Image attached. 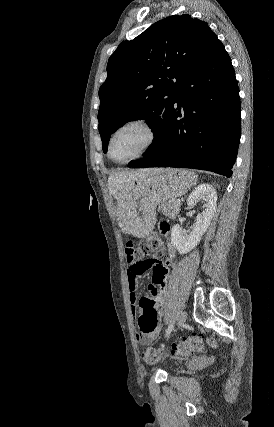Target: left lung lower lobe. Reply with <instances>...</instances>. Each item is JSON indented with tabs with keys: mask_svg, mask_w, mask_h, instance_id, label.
Segmentation results:
<instances>
[{
	"mask_svg": "<svg viewBox=\"0 0 274 427\" xmlns=\"http://www.w3.org/2000/svg\"><path fill=\"white\" fill-rule=\"evenodd\" d=\"M239 88L215 36L181 80L166 122L145 156L129 167H179L232 176L241 136Z\"/></svg>",
	"mask_w": 274,
	"mask_h": 427,
	"instance_id": "1",
	"label": "left lung lower lobe"
}]
</instances>
